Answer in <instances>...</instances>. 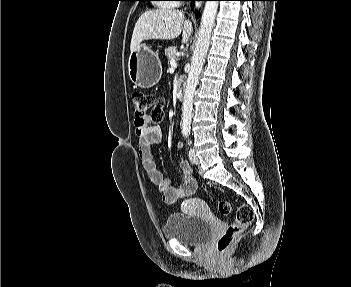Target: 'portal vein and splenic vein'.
Returning a JSON list of instances; mask_svg holds the SVG:
<instances>
[{"mask_svg": "<svg viewBox=\"0 0 351 287\" xmlns=\"http://www.w3.org/2000/svg\"><path fill=\"white\" fill-rule=\"evenodd\" d=\"M170 65H171L172 68H176V67H177L176 60H175V59H172V60L170 61Z\"/></svg>", "mask_w": 351, "mask_h": 287, "instance_id": "portal-vein-and-splenic-vein-1", "label": "portal vein and splenic vein"}]
</instances>
